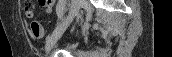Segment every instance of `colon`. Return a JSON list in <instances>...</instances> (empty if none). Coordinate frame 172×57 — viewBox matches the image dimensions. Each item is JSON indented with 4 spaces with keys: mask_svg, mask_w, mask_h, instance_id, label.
<instances>
[{
    "mask_svg": "<svg viewBox=\"0 0 172 57\" xmlns=\"http://www.w3.org/2000/svg\"><path fill=\"white\" fill-rule=\"evenodd\" d=\"M34 9V6L31 2H28L25 11L26 12H32ZM30 33L34 38H41L43 35V29L41 25L37 21H33L30 25Z\"/></svg>",
    "mask_w": 172,
    "mask_h": 57,
    "instance_id": "obj_1",
    "label": "colon"
}]
</instances>
